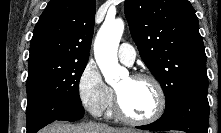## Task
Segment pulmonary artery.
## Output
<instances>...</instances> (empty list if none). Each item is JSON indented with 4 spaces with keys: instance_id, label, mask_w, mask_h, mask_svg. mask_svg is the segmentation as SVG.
<instances>
[{
    "instance_id": "obj_1",
    "label": "pulmonary artery",
    "mask_w": 221,
    "mask_h": 133,
    "mask_svg": "<svg viewBox=\"0 0 221 133\" xmlns=\"http://www.w3.org/2000/svg\"><path fill=\"white\" fill-rule=\"evenodd\" d=\"M118 58H119L121 63L130 66L135 61L136 52L130 44L123 43L119 47Z\"/></svg>"
}]
</instances>
